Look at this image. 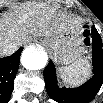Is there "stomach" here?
I'll return each mask as SVG.
<instances>
[{
  "label": "stomach",
  "instance_id": "0dacf381",
  "mask_svg": "<svg viewBox=\"0 0 103 103\" xmlns=\"http://www.w3.org/2000/svg\"><path fill=\"white\" fill-rule=\"evenodd\" d=\"M42 43L49 48L61 65H71L80 60L85 53V30L75 28L51 37H44Z\"/></svg>",
  "mask_w": 103,
  "mask_h": 103
}]
</instances>
